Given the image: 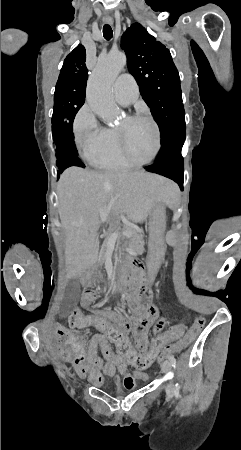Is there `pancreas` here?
Instances as JSON below:
<instances>
[{
	"label": "pancreas",
	"instance_id": "cf45deb5",
	"mask_svg": "<svg viewBox=\"0 0 241 450\" xmlns=\"http://www.w3.org/2000/svg\"><path fill=\"white\" fill-rule=\"evenodd\" d=\"M128 228H131L132 229L131 231H133V232L136 230L134 227H131V226ZM111 232H116V234L118 233L117 230H111ZM110 236H111V234H107L106 242H104V244L102 246V250L100 252V260H99L100 266H102V264H104L105 254H106V250H107L106 244H107V240H108V238H110ZM126 237H128L127 238L128 242H131V241L134 242V245H130V250L137 251V250H142L143 248H145L142 245H139V244H142V242L144 241V238L142 236H140V232L135 231L133 234H131L130 236H126Z\"/></svg>",
	"mask_w": 241,
	"mask_h": 450
}]
</instances>
